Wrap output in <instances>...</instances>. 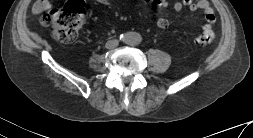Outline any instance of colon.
I'll use <instances>...</instances> for the list:
<instances>
[{
    "instance_id": "colon-1",
    "label": "colon",
    "mask_w": 253,
    "mask_h": 138,
    "mask_svg": "<svg viewBox=\"0 0 253 138\" xmlns=\"http://www.w3.org/2000/svg\"><path fill=\"white\" fill-rule=\"evenodd\" d=\"M89 15V9L83 0H70L61 8L43 12L41 22L52 28L56 41L68 43L73 40L77 30L84 25ZM214 38V32L206 29L195 38V42L205 46L211 44Z\"/></svg>"
}]
</instances>
